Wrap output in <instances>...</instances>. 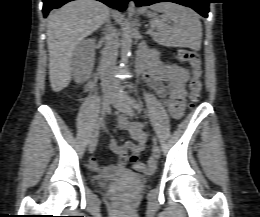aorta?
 I'll use <instances>...</instances> for the list:
<instances>
[{"mask_svg": "<svg viewBox=\"0 0 260 217\" xmlns=\"http://www.w3.org/2000/svg\"><path fill=\"white\" fill-rule=\"evenodd\" d=\"M132 45V27L129 21H125L123 25L122 39H121V59L126 61L130 55V49Z\"/></svg>", "mask_w": 260, "mask_h": 217, "instance_id": "762f6f07", "label": "aorta"}]
</instances>
